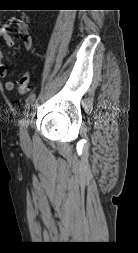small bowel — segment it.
Returning <instances> with one entry per match:
<instances>
[{
  "mask_svg": "<svg viewBox=\"0 0 138 253\" xmlns=\"http://www.w3.org/2000/svg\"><path fill=\"white\" fill-rule=\"evenodd\" d=\"M11 25H15L17 28V33L22 41V44L26 51H30L33 48V39L29 32V26L28 24L18 18V17H12L8 19L4 24L0 26V39L3 42V44L10 48L13 46L14 42L13 39L9 33V29ZM8 75V69L5 65V57L0 49V78H6ZM15 87V83L12 80H8L5 83V89L8 91H12Z\"/></svg>",
  "mask_w": 138,
  "mask_h": 253,
  "instance_id": "1",
  "label": "small bowel"
}]
</instances>
